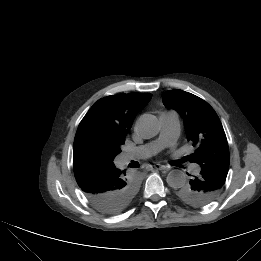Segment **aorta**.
Returning <instances> with one entry per match:
<instances>
[{"mask_svg":"<svg viewBox=\"0 0 261 261\" xmlns=\"http://www.w3.org/2000/svg\"><path fill=\"white\" fill-rule=\"evenodd\" d=\"M160 125L156 116L151 114H143L136 122V133L144 138L150 139L158 134ZM171 188H181L186 183V178L181 171H171L166 179Z\"/></svg>","mask_w":261,"mask_h":261,"instance_id":"aorta-1","label":"aorta"}]
</instances>
